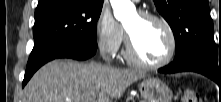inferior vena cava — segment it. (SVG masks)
<instances>
[{"label": "inferior vena cava", "mask_w": 221, "mask_h": 102, "mask_svg": "<svg viewBox=\"0 0 221 102\" xmlns=\"http://www.w3.org/2000/svg\"><path fill=\"white\" fill-rule=\"evenodd\" d=\"M103 58H105V54H103Z\"/></svg>", "instance_id": "inferior-vena-cava-1"}]
</instances>
